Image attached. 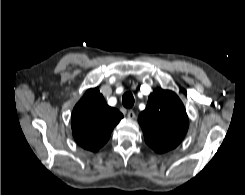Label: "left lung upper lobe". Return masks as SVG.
<instances>
[{
  "mask_svg": "<svg viewBox=\"0 0 245 195\" xmlns=\"http://www.w3.org/2000/svg\"><path fill=\"white\" fill-rule=\"evenodd\" d=\"M146 143L157 153L177 147L188 129V116L179 97L157 88L138 117Z\"/></svg>",
  "mask_w": 245,
  "mask_h": 195,
  "instance_id": "5c2ea615",
  "label": "left lung upper lobe"
}]
</instances>
